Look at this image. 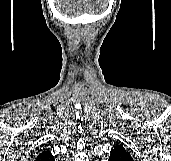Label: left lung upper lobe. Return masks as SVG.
I'll list each match as a JSON object with an SVG mask.
<instances>
[{"label":"left lung upper lobe","instance_id":"obj_1","mask_svg":"<svg viewBox=\"0 0 171 161\" xmlns=\"http://www.w3.org/2000/svg\"><path fill=\"white\" fill-rule=\"evenodd\" d=\"M118 159L121 161H133V158L131 157L130 153L123 147L122 144L116 143L114 145V148L110 152V158Z\"/></svg>","mask_w":171,"mask_h":161}]
</instances>
